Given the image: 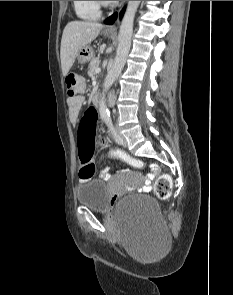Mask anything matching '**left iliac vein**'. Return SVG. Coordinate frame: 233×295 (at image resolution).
I'll return each mask as SVG.
<instances>
[{
    "label": "left iliac vein",
    "instance_id": "obj_1",
    "mask_svg": "<svg viewBox=\"0 0 233 295\" xmlns=\"http://www.w3.org/2000/svg\"><path fill=\"white\" fill-rule=\"evenodd\" d=\"M117 134L119 135L120 140H121L120 144H121L122 146L126 147V146H127V141H126V139L124 138V136L121 135L120 133H117Z\"/></svg>",
    "mask_w": 233,
    "mask_h": 295
}]
</instances>
